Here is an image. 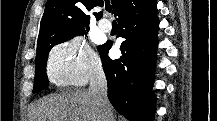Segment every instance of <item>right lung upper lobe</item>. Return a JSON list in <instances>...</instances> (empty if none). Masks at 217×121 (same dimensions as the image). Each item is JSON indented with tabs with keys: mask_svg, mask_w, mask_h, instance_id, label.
<instances>
[{
	"mask_svg": "<svg viewBox=\"0 0 217 121\" xmlns=\"http://www.w3.org/2000/svg\"><path fill=\"white\" fill-rule=\"evenodd\" d=\"M113 13L118 16L129 5V0H112ZM103 0H48L40 22L37 45L58 40L79 30L89 28L87 11L102 6ZM97 20L102 12L93 13Z\"/></svg>",
	"mask_w": 217,
	"mask_h": 121,
	"instance_id": "cb5924a9",
	"label": "right lung upper lobe"
}]
</instances>
